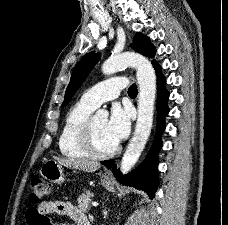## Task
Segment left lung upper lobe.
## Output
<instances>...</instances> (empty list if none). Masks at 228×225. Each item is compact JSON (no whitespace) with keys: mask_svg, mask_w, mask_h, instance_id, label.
<instances>
[{"mask_svg":"<svg viewBox=\"0 0 228 225\" xmlns=\"http://www.w3.org/2000/svg\"><path fill=\"white\" fill-rule=\"evenodd\" d=\"M131 46L135 51L147 57H153L156 52V49L151 44L150 39L142 33L136 34L134 37V43ZM99 58L100 53L89 52L76 64L65 93V99L62 104L63 107L66 106L71 100L72 96L86 79L87 75L98 62ZM152 63L154 64L156 61L153 60Z\"/></svg>","mask_w":228,"mask_h":225,"instance_id":"obj_1","label":"left lung upper lobe"}]
</instances>
